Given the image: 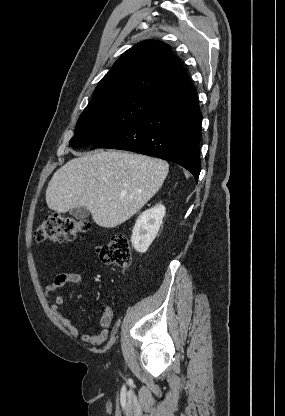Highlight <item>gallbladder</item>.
Returning a JSON list of instances; mask_svg holds the SVG:
<instances>
[{
	"mask_svg": "<svg viewBox=\"0 0 285 416\" xmlns=\"http://www.w3.org/2000/svg\"><path fill=\"white\" fill-rule=\"evenodd\" d=\"M70 214L73 218H76V220H80V222H83L84 218L90 216V212L87 208H72Z\"/></svg>",
	"mask_w": 285,
	"mask_h": 416,
	"instance_id": "bac80fb5",
	"label": "gallbladder"
}]
</instances>
